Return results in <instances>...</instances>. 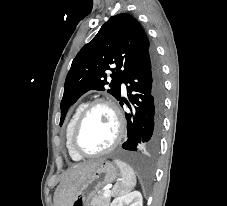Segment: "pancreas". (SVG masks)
<instances>
[{
  "label": "pancreas",
  "mask_w": 227,
  "mask_h": 206,
  "mask_svg": "<svg viewBox=\"0 0 227 206\" xmlns=\"http://www.w3.org/2000/svg\"><path fill=\"white\" fill-rule=\"evenodd\" d=\"M103 194L104 193H98V194H96L92 198L89 206H109L111 195L104 196Z\"/></svg>",
  "instance_id": "obj_1"
}]
</instances>
